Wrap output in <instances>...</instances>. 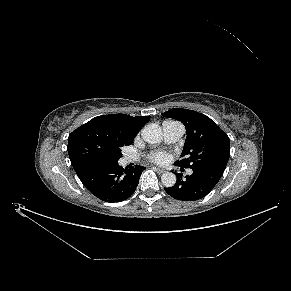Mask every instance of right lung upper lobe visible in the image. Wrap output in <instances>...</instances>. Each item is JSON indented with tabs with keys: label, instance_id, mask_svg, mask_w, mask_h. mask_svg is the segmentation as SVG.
<instances>
[{
	"label": "right lung upper lobe",
	"instance_id": "1",
	"mask_svg": "<svg viewBox=\"0 0 291 291\" xmlns=\"http://www.w3.org/2000/svg\"><path fill=\"white\" fill-rule=\"evenodd\" d=\"M150 116L132 117L126 114H110L95 117L73 131L68 137L67 150L73 166L92 159L100 150H121L130 145Z\"/></svg>",
	"mask_w": 291,
	"mask_h": 291
}]
</instances>
